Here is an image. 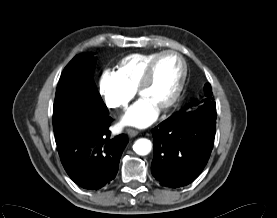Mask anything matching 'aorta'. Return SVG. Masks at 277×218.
Instances as JSON below:
<instances>
[{
    "instance_id": "obj_1",
    "label": "aorta",
    "mask_w": 277,
    "mask_h": 218,
    "mask_svg": "<svg viewBox=\"0 0 277 218\" xmlns=\"http://www.w3.org/2000/svg\"><path fill=\"white\" fill-rule=\"evenodd\" d=\"M151 149L152 143L146 138H140L136 140L133 145V150L135 151V153L141 156L149 154L151 152Z\"/></svg>"
}]
</instances>
